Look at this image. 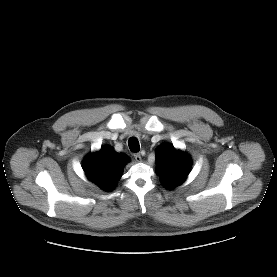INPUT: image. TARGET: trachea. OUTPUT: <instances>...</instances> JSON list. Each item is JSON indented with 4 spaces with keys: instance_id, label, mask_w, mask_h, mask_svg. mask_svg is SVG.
Segmentation results:
<instances>
[{
    "instance_id": "obj_1",
    "label": "trachea",
    "mask_w": 277,
    "mask_h": 277,
    "mask_svg": "<svg viewBox=\"0 0 277 277\" xmlns=\"http://www.w3.org/2000/svg\"><path fill=\"white\" fill-rule=\"evenodd\" d=\"M128 145H129V148L132 152H138L139 149H140V146H139V142L138 140L135 138V137H132L129 141H128Z\"/></svg>"
}]
</instances>
